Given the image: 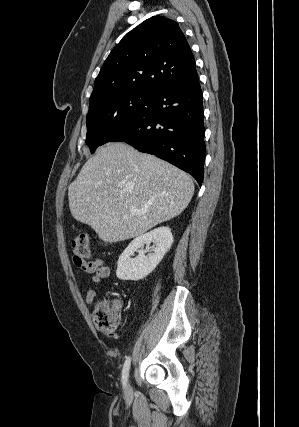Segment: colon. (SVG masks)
I'll return each mask as SVG.
<instances>
[{"label":"colon","mask_w":299,"mask_h":427,"mask_svg":"<svg viewBox=\"0 0 299 427\" xmlns=\"http://www.w3.org/2000/svg\"><path fill=\"white\" fill-rule=\"evenodd\" d=\"M75 263H87L92 257L90 238L86 233H79L72 241ZM93 319L96 328L104 334H113L121 320L118 303L111 299L98 301L93 308Z\"/></svg>","instance_id":"1"}]
</instances>
